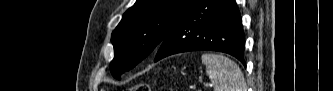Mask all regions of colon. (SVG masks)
I'll return each instance as SVG.
<instances>
[{
	"label": "colon",
	"instance_id": "1",
	"mask_svg": "<svg viewBox=\"0 0 333 91\" xmlns=\"http://www.w3.org/2000/svg\"><path fill=\"white\" fill-rule=\"evenodd\" d=\"M149 90H150L149 85L146 83L136 84L130 88V91H149Z\"/></svg>",
	"mask_w": 333,
	"mask_h": 91
}]
</instances>
